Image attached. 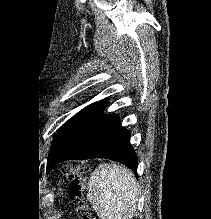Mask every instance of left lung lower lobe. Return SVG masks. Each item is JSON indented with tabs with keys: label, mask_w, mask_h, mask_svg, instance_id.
<instances>
[{
	"label": "left lung lower lobe",
	"mask_w": 211,
	"mask_h": 219,
	"mask_svg": "<svg viewBox=\"0 0 211 219\" xmlns=\"http://www.w3.org/2000/svg\"><path fill=\"white\" fill-rule=\"evenodd\" d=\"M107 103L94 104L65 134L47 161V171L70 159L109 158L135 173L138 158L130 145V132L117 115L103 114Z\"/></svg>",
	"instance_id": "left-lung-lower-lobe-1"
}]
</instances>
